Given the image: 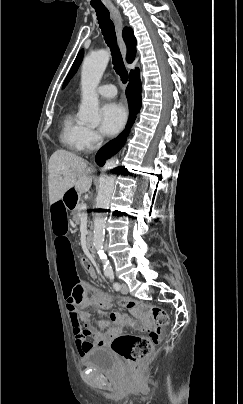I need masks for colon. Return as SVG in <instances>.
<instances>
[{
    "label": "colon",
    "instance_id": "obj_1",
    "mask_svg": "<svg viewBox=\"0 0 243 404\" xmlns=\"http://www.w3.org/2000/svg\"><path fill=\"white\" fill-rule=\"evenodd\" d=\"M84 271L90 272L91 264L88 259L82 258L80 261ZM100 308L109 307V303L104 300H95ZM117 305L124 307L136 314L149 313L156 323V327L152 329L147 337L131 334H122L114 338L112 348L120 356L125 358L129 363L136 364L147 358L153 351L154 347L159 343L161 336V327L168 324V315L166 311L155 305L145 304L132 299H120Z\"/></svg>",
    "mask_w": 243,
    "mask_h": 404
}]
</instances>
